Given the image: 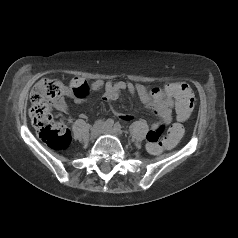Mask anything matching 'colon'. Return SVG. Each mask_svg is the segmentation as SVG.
<instances>
[{
    "mask_svg": "<svg viewBox=\"0 0 238 238\" xmlns=\"http://www.w3.org/2000/svg\"><path fill=\"white\" fill-rule=\"evenodd\" d=\"M64 85L53 79H41L33 87L30 95L31 107L29 116L32 125L37 130L40 138L55 149H64L70 142L69 130L62 123L55 122L52 116V106L64 95ZM175 96L177 110L175 115L185 121L189 118L194 107V95L185 83L170 89ZM163 127L152 128L147 134L148 151L158 154L162 148L175 146L183 135V127L179 124L172 125L167 136L162 138Z\"/></svg>",
    "mask_w": 238,
    "mask_h": 238,
    "instance_id": "5ec220e1",
    "label": "colon"
}]
</instances>
